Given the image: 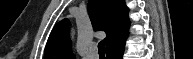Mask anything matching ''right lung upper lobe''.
Returning <instances> with one entry per match:
<instances>
[{"label": "right lung upper lobe", "instance_id": "cb5924a9", "mask_svg": "<svg viewBox=\"0 0 193 59\" xmlns=\"http://www.w3.org/2000/svg\"><path fill=\"white\" fill-rule=\"evenodd\" d=\"M88 11L94 29L107 34L106 50L127 37L129 20L124 0H89ZM68 29L67 19L55 25L45 47L44 59L73 58Z\"/></svg>", "mask_w": 193, "mask_h": 59}]
</instances>
